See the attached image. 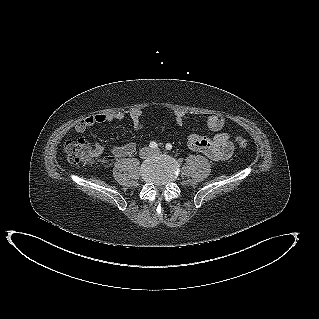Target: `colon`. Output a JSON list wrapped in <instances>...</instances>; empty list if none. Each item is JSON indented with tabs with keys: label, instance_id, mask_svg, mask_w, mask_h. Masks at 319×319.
<instances>
[{
	"label": "colon",
	"instance_id": "1",
	"mask_svg": "<svg viewBox=\"0 0 319 319\" xmlns=\"http://www.w3.org/2000/svg\"><path fill=\"white\" fill-rule=\"evenodd\" d=\"M236 143L242 149L249 147L248 140L240 135L236 137ZM64 152L68 161L76 165L89 164L95 160L89 142L82 138L67 140L64 144Z\"/></svg>",
	"mask_w": 319,
	"mask_h": 319
}]
</instances>
